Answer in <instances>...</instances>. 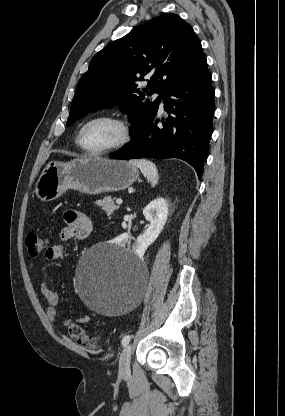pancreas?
I'll use <instances>...</instances> for the list:
<instances>
[{
    "label": "pancreas",
    "instance_id": "1",
    "mask_svg": "<svg viewBox=\"0 0 285 416\" xmlns=\"http://www.w3.org/2000/svg\"><path fill=\"white\" fill-rule=\"evenodd\" d=\"M94 204H97V206H101L102 210L108 214V216H111L113 214L114 210H118L119 206H115L111 196H105L104 200H96Z\"/></svg>",
    "mask_w": 285,
    "mask_h": 416
}]
</instances>
